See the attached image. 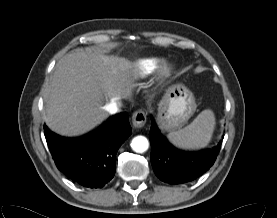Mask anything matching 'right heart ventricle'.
<instances>
[{
    "mask_svg": "<svg viewBox=\"0 0 277 218\" xmlns=\"http://www.w3.org/2000/svg\"><path fill=\"white\" fill-rule=\"evenodd\" d=\"M163 63V59L158 57L143 58L135 64V74L137 77L144 78L154 73Z\"/></svg>",
    "mask_w": 277,
    "mask_h": 218,
    "instance_id": "1",
    "label": "right heart ventricle"
}]
</instances>
